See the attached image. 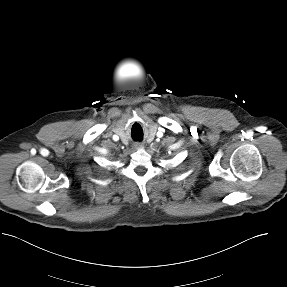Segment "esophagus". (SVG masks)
<instances>
[{"label":"esophagus","mask_w":287,"mask_h":287,"mask_svg":"<svg viewBox=\"0 0 287 287\" xmlns=\"http://www.w3.org/2000/svg\"><path fill=\"white\" fill-rule=\"evenodd\" d=\"M141 147H142V145L139 144V143H137V144L134 145V148H135V149H139V148H141Z\"/></svg>","instance_id":"obj_1"}]
</instances>
